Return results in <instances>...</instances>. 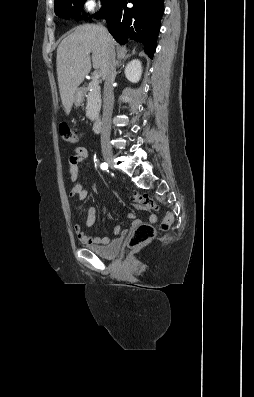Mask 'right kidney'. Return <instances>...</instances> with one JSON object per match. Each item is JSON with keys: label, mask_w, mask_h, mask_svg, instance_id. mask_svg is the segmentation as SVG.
Returning <instances> with one entry per match:
<instances>
[{"label": "right kidney", "mask_w": 254, "mask_h": 397, "mask_svg": "<svg viewBox=\"0 0 254 397\" xmlns=\"http://www.w3.org/2000/svg\"><path fill=\"white\" fill-rule=\"evenodd\" d=\"M142 75V65L141 62L137 59L129 62L125 68V76L126 78L133 83H137Z\"/></svg>", "instance_id": "right-kidney-1"}]
</instances>
